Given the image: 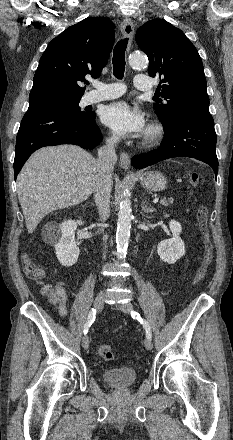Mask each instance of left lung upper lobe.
<instances>
[{
    "label": "left lung upper lobe",
    "mask_w": 233,
    "mask_h": 440,
    "mask_svg": "<svg viewBox=\"0 0 233 440\" xmlns=\"http://www.w3.org/2000/svg\"><path fill=\"white\" fill-rule=\"evenodd\" d=\"M136 42L149 58V75L161 78L159 95L166 103H155L153 108L164 128L183 111H209L201 58L180 29L164 20H151L138 29Z\"/></svg>",
    "instance_id": "1"
}]
</instances>
